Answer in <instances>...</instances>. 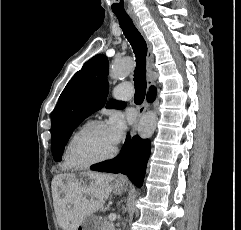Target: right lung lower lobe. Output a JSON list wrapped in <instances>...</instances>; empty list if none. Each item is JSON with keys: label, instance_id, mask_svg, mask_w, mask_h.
I'll list each match as a JSON object with an SVG mask.
<instances>
[{"label": "right lung lower lobe", "instance_id": "98d812e1", "mask_svg": "<svg viewBox=\"0 0 241 230\" xmlns=\"http://www.w3.org/2000/svg\"><path fill=\"white\" fill-rule=\"evenodd\" d=\"M156 96V88L154 86H151L149 88V93L147 94L148 101L152 102L155 99Z\"/></svg>", "mask_w": 241, "mask_h": 230}]
</instances>
